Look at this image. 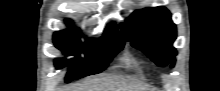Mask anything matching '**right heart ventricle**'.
Masks as SVG:
<instances>
[{
	"label": "right heart ventricle",
	"mask_w": 220,
	"mask_h": 91,
	"mask_svg": "<svg viewBox=\"0 0 220 91\" xmlns=\"http://www.w3.org/2000/svg\"><path fill=\"white\" fill-rule=\"evenodd\" d=\"M124 63L126 66L131 67V60L129 58H125Z\"/></svg>",
	"instance_id": "e07e8e85"
}]
</instances>
